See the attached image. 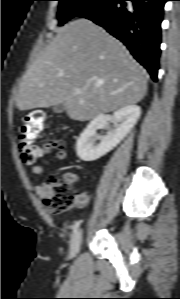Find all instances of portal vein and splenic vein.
<instances>
[{
	"label": "portal vein and splenic vein",
	"mask_w": 180,
	"mask_h": 299,
	"mask_svg": "<svg viewBox=\"0 0 180 299\" xmlns=\"http://www.w3.org/2000/svg\"><path fill=\"white\" fill-rule=\"evenodd\" d=\"M75 93L76 94H81V93H83V90L82 89H75ZM111 94H115V93H111Z\"/></svg>",
	"instance_id": "18ae733b"
}]
</instances>
